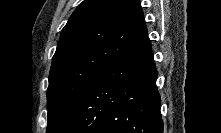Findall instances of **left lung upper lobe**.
I'll list each match as a JSON object with an SVG mask.
<instances>
[{
    "mask_svg": "<svg viewBox=\"0 0 221 133\" xmlns=\"http://www.w3.org/2000/svg\"><path fill=\"white\" fill-rule=\"evenodd\" d=\"M147 33L138 0H84L63 28L52 58L47 133H56L93 80Z\"/></svg>",
    "mask_w": 221,
    "mask_h": 133,
    "instance_id": "obj_1",
    "label": "left lung upper lobe"
}]
</instances>
